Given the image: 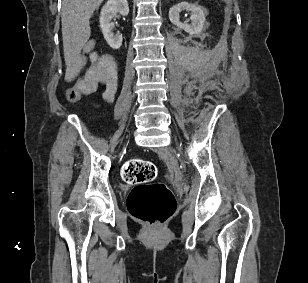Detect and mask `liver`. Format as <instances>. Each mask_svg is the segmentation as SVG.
<instances>
[{
	"label": "liver",
	"mask_w": 308,
	"mask_h": 283,
	"mask_svg": "<svg viewBox=\"0 0 308 283\" xmlns=\"http://www.w3.org/2000/svg\"><path fill=\"white\" fill-rule=\"evenodd\" d=\"M104 0H63L62 39L67 66L76 58L90 38L89 20ZM67 74L66 77H68Z\"/></svg>",
	"instance_id": "obj_1"
}]
</instances>
